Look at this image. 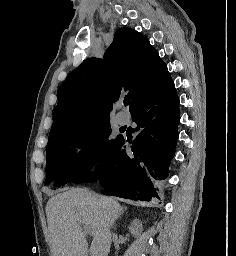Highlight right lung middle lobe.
<instances>
[{
	"label": "right lung middle lobe",
	"instance_id": "dd1d6c3e",
	"mask_svg": "<svg viewBox=\"0 0 236 256\" xmlns=\"http://www.w3.org/2000/svg\"><path fill=\"white\" fill-rule=\"evenodd\" d=\"M110 134V120H104L79 126L49 139L46 147L45 184L61 186L89 174L97 164L106 160L122 139V135L109 139Z\"/></svg>",
	"mask_w": 236,
	"mask_h": 256
}]
</instances>
